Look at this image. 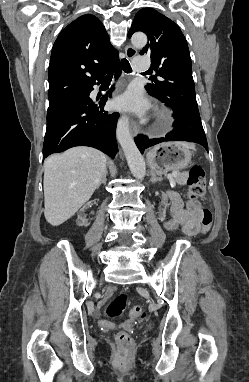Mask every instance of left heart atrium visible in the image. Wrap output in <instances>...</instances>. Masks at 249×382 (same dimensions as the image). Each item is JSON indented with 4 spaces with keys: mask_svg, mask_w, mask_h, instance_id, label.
I'll use <instances>...</instances> for the list:
<instances>
[{
    "mask_svg": "<svg viewBox=\"0 0 249 382\" xmlns=\"http://www.w3.org/2000/svg\"><path fill=\"white\" fill-rule=\"evenodd\" d=\"M114 106L118 109H129L136 112H143L147 104L142 99L141 94L136 89H130L114 101Z\"/></svg>",
    "mask_w": 249,
    "mask_h": 382,
    "instance_id": "left-heart-atrium-1",
    "label": "left heart atrium"
}]
</instances>
